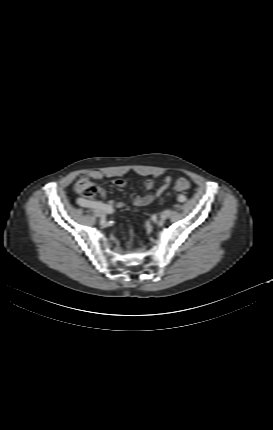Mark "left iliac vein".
Here are the masks:
<instances>
[{"instance_id":"obj_1","label":"left iliac vein","mask_w":273,"mask_h":430,"mask_svg":"<svg viewBox=\"0 0 273 430\" xmlns=\"http://www.w3.org/2000/svg\"><path fill=\"white\" fill-rule=\"evenodd\" d=\"M170 216V210H165L160 214L161 220H166Z\"/></svg>"}]
</instances>
